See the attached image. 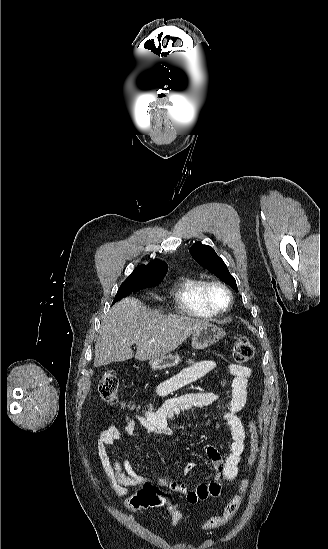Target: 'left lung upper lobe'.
Wrapping results in <instances>:
<instances>
[{"instance_id": "obj_1", "label": "left lung upper lobe", "mask_w": 328, "mask_h": 549, "mask_svg": "<svg viewBox=\"0 0 328 549\" xmlns=\"http://www.w3.org/2000/svg\"><path fill=\"white\" fill-rule=\"evenodd\" d=\"M190 253L202 267L230 285L234 290H238L235 278L230 274L226 264L212 247L197 242L191 246Z\"/></svg>"}]
</instances>
